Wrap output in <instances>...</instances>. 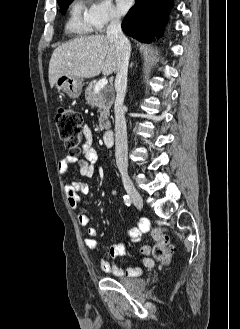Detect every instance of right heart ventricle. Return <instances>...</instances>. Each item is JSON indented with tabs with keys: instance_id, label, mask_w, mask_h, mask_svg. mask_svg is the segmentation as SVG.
<instances>
[{
	"instance_id": "1",
	"label": "right heart ventricle",
	"mask_w": 240,
	"mask_h": 329,
	"mask_svg": "<svg viewBox=\"0 0 240 329\" xmlns=\"http://www.w3.org/2000/svg\"><path fill=\"white\" fill-rule=\"evenodd\" d=\"M88 12L89 8L85 0H75L71 4L66 20V31L75 36H86L90 34L93 27L90 23Z\"/></svg>"
}]
</instances>
